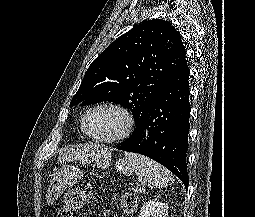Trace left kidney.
Segmentation results:
<instances>
[{
	"label": "left kidney",
	"mask_w": 255,
	"mask_h": 217,
	"mask_svg": "<svg viewBox=\"0 0 255 217\" xmlns=\"http://www.w3.org/2000/svg\"><path fill=\"white\" fill-rule=\"evenodd\" d=\"M168 209L167 203L150 200L143 205L138 217H168Z\"/></svg>",
	"instance_id": "left-kidney-1"
}]
</instances>
